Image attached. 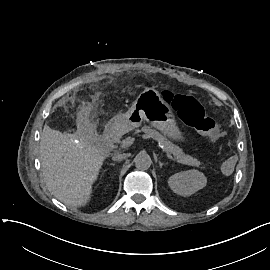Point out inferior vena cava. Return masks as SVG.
I'll return each mask as SVG.
<instances>
[{
  "mask_svg": "<svg viewBox=\"0 0 270 270\" xmlns=\"http://www.w3.org/2000/svg\"><path fill=\"white\" fill-rule=\"evenodd\" d=\"M129 156H130V154H128V153L115 154V155L112 157V159H113L114 161H121V160H123V159H125V158H127V157H129Z\"/></svg>",
  "mask_w": 270,
  "mask_h": 270,
  "instance_id": "inferior-vena-cava-1",
  "label": "inferior vena cava"
}]
</instances>
